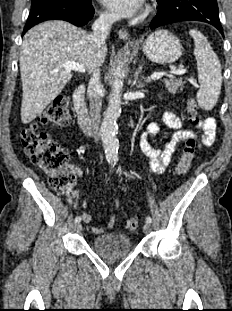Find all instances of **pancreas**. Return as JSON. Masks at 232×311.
<instances>
[{
  "label": "pancreas",
  "instance_id": "obj_1",
  "mask_svg": "<svg viewBox=\"0 0 232 311\" xmlns=\"http://www.w3.org/2000/svg\"><path fill=\"white\" fill-rule=\"evenodd\" d=\"M162 82L165 84L167 90L173 94H175L178 90H182L181 87L184 85V81L182 79L168 80L164 78Z\"/></svg>",
  "mask_w": 232,
  "mask_h": 311
}]
</instances>
